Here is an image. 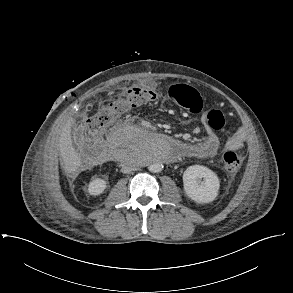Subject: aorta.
Instances as JSON below:
<instances>
[{
    "label": "aorta",
    "instance_id": "1",
    "mask_svg": "<svg viewBox=\"0 0 293 293\" xmlns=\"http://www.w3.org/2000/svg\"><path fill=\"white\" fill-rule=\"evenodd\" d=\"M150 143L151 153L154 156H164L167 152V149L170 147L169 141L163 137H153ZM148 169L153 173H157L162 171L163 165L160 162H155L152 163Z\"/></svg>",
    "mask_w": 293,
    "mask_h": 293
}]
</instances>
